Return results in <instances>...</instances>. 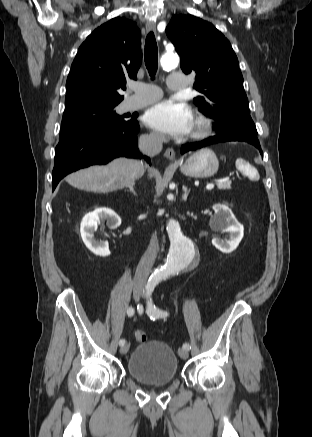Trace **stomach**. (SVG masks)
I'll return each instance as SVG.
<instances>
[{"instance_id": "1", "label": "stomach", "mask_w": 312, "mask_h": 437, "mask_svg": "<svg viewBox=\"0 0 312 437\" xmlns=\"http://www.w3.org/2000/svg\"><path fill=\"white\" fill-rule=\"evenodd\" d=\"M182 174L193 178H207L217 173L219 161L209 148L200 149L189 154L184 161L178 163Z\"/></svg>"}]
</instances>
